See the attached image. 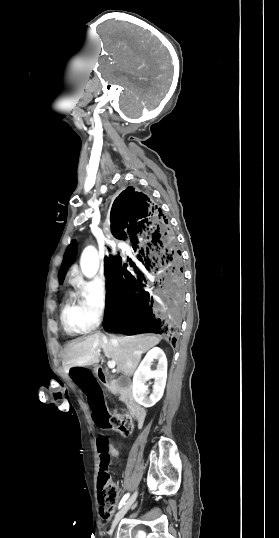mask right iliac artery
Listing matches in <instances>:
<instances>
[{
  "instance_id": "obj_1",
  "label": "right iliac artery",
  "mask_w": 279,
  "mask_h": 538,
  "mask_svg": "<svg viewBox=\"0 0 279 538\" xmlns=\"http://www.w3.org/2000/svg\"><path fill=\"white\" fill-rule=\"evenodd\" d=\"M128 497H129V493L124 495V497L122 498V500L119 503V508H121L125 504V501L128 499Z\"/></svg>"
}]
</instances>
